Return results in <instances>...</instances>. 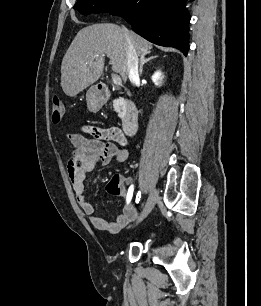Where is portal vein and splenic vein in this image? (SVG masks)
<instances>
[{
    "mask_svg": "<svg viewBox=\"0 0 261 306\" xmlns=\"http://www.w3.org/2000/svg\"><path fill=\"white\" fill-rule=\"evenodd\" d=\"M112 81L115 85H121V83H122L121 77L119 75H116V74L112 75Z\"/></svg>",
    "mask_w": 261,
    "mask_h": 306,
    "instance_id": "18ae733b",
    "label": "portal vein and splenic vein"
}]
</instances>
